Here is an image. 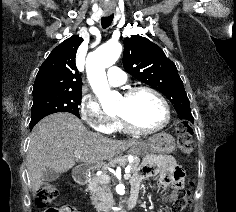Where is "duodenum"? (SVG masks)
I'll use <instances>...</instances> for the list:
<instances>
[{
	"label": "duodenum",
	"instance_id": "duodenum-1",
	"mask_svg": "<svg viewBox=\"0 0 236 212\" xmlns=\"http://www.w3.org/2000/svg\"><path fill=\"white\" fill-rule=\"evenodd\" d=\"M73 178L75 182L79 185H85L88 179V169L83 166L76 167L73 171ZM139 189H132L128 198L125 202V207L122 212H125L128 208L133 207L138 202ZM104 212H115L116 210L112 208L104 209Z\"/></svg>",
	"mask_w": 236,
	"mask_h": 212
}]
</instances>
